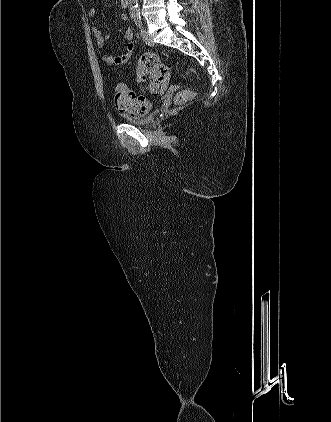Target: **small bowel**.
Instances as JSON below:
<instances>
[{
  "instance_id": "1",
  "label": "small bowel",
  "mask_w": 331,
  "mask_h": 422,
  "mask_svg": "<svg viewBox=\"0 0 331 422\" xmlns=\"http://www.w3.org/2000/svg\"><path fill=\"white\" fill-rule=\"evenodd\" d=\"M88 14L90 18H94L96 16V9L94 7L91 8ZM121 19L126 20L127 15L122 14ZM91 31L95 38L97 47L101 50V58L105 66H107L108 68H113V67L124 65L129 61L135 49V43L133 41L134 31L131 28H127L124 32V38L128 41V44L126 46V51L120 55H110L104 51L105 43L109 39V35L104 34L99 26L97 25L92 26Z\"/></svg>"
}]
</instances>
